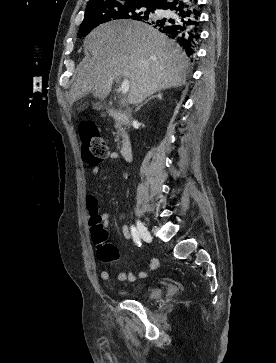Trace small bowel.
<instances>
[{
  "mask_svg": "<svg viewBox=\"0 0 276 363\" xmlns=\"http://www.w3.org/2000/svg\"><path fill=\"white\" fill-rule=\"evenodd\" d=\"M110 157L112 159L116 158L117 155L115 153H112L110 155ZM99 168L98 167H93L91 169V172L93 175H98L99 174ZM97 205V198L94 195H90L88 202H87V207L89 209H95ZM100 219H101V223L103 227H107L110 223V216L108 213H101L100 214ZM121 230L124 234V237L129 239L130 238V232L127 228V226L122 225L121 226ZM159 266V262L157 260V258L153 257L150 260L149 263V268L148 270H142L139 272H119L116 274V280L120 281V282H125V281H129V282H135L138 279H143L146 278L152 271L156 270ZM100 278L104 281H107L110 279V272L106 269H103L100 271Z\"/></svg>",
  "mask_w": 276,
  "mask_h": 363,
  "instance_id": "c3829d8e",
  "label": "small bowel"
}]
</instances>
